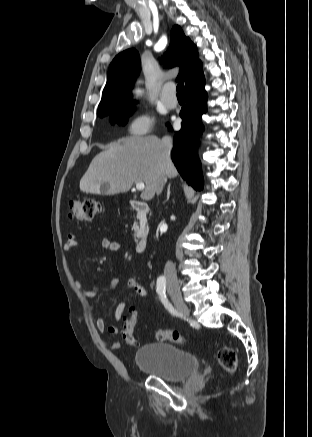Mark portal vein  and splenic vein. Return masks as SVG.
I'll use <instances>...</instances> for the list:
<instances>
[{"mask_svg":"<svg viewBox=\"0 0 312 437\" xmlns=\"http://www.w3.org/2000/svg\"><path fill=\"white\" fill-rule=\"evenodd\" d=\"M136 189L137 190H144L145 189V184L143 182H137L136 183Z\"/></svg>","mask_w":312,"mask_h":437,"instance_id":"18ae733b","label":"portal vein and splenic vein"}]
</instances>
